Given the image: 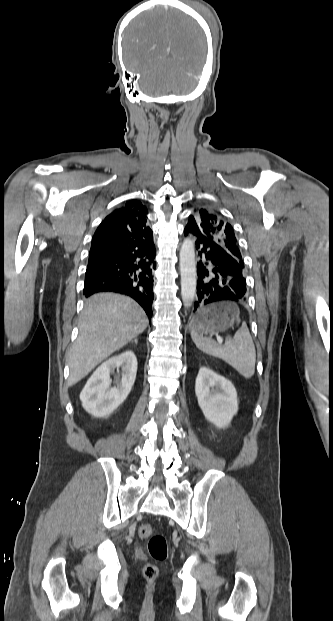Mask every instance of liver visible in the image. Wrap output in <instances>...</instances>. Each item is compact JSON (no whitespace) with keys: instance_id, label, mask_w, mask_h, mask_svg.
Listing matches in <instances>:
<instances>
[{"instance_id":"obj_1","label":"liver","mask_w":333,"mask_h":621,"mask_svg":"<svg viewBox=\"0 0 333 621\" xmlns=\"http://www.w3.org/2000/svg\"><path fill=\"white\" fill-rule=\"evenodd\" d=\"M147 326L144 310L128 297L98 293L88 298L79 323V336L68 354L69 384L82 380Z\"/></svg>"}]
</instances>
